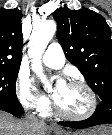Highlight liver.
Segmentation results:
<instances>
[{
  "mask_svg": "<svg viewBox=\"0 0 112 135\" xmlns=\"http://www.w3.org/2000/svg\"><path fill=\"white\" fill-rule=\"evenodd\" d=\"M48 127L42 122L17 120L0 111V135H47Z\"/></svg>",
  "mask_w": 112,
  "mask_h": 135,
  "instance_id": "liver-1",
  "label": "liver"
}]
</instances>
